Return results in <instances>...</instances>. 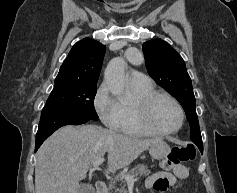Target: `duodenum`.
<instances>
[{"label": "duodenum", "instance_id": "1", "mask_svg": "<svg viewBox=\"0 0 237 193\" xmlns=\"http://www.w3.org/2000/svg\"><path fill=\"white\" fill-rule=\"evenodd\" d=\"M96 193H107V186L103 181H97L95 184Z\"/></svg>", "mask_w": 237, "mask_h": 193}]
</instances>
